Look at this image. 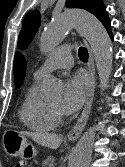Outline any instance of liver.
<instances>
[{"mask_svg": "<svg viewBox=\"0 0 125 167\" xmlns=\"http://www.w3.org/2000/svg\"><path fill=\"white\" fill-rule=\"evenodd\" d=\"M19 134L30 137L38 144L51 149H57L63 141L62 136L52 133L21 131Z\"/></svg>", "mask_w": 125, "mask_h": 167, "instance_id": "obj_1", "label": "liver"}]
</instances>
